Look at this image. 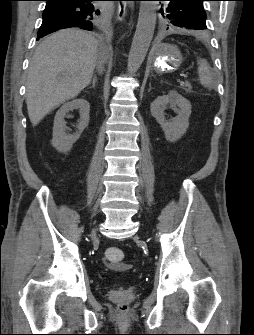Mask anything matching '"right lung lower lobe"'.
<instances>
[{
    "label": "right lung lower lobe",
    "instance_id": "obj_1",
    "mask_svg": "<svg viewBox=\"0 0 254 335\" xmlns=\"http://www.w3.org/2000/svg\"><path fill=\"white\" fill-rule=\"evenodd\" d=\"M43 22L37 40L60 29L79 27L91 30L96 12L94 1L98 0H45Z\"/></svg>",
    "mask_w": 254,
    "mask_h": 335
}]
</instances>
